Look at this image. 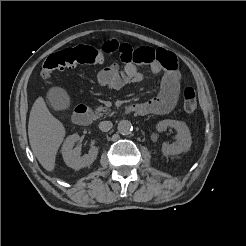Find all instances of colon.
<instances>
[{
  "mask_svg": "<svg viewBox=\"0 0 246 246\" xmlns=\"http://www.w3.org/2000/svg\"><path fill=\"white\" fill-rule=\"evenodd\" d=\"M104 56L101 50L88 45H77L50 55L42 65L41 74L49 80L54 71L71 68L79 64H101ZM183 108L192 113L197 109V97L193 88H186L183 92Z\"/></svg>",
  "mask_w": 246,
  "mask_h": 246,
  "instance_id": "colon-1",
  "label": "colon"
}]
</instances>
